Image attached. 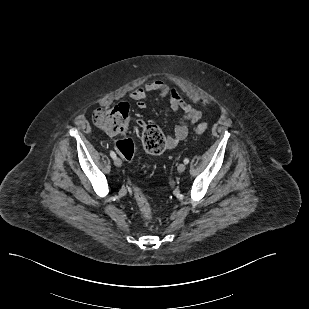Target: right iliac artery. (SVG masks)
<instances>
[{
  "instance_id": "82829eb1",
  "label": "right iliac artery",
  "mask_w": 309,
  "mask_h": 309,
  "mask_svg": "<svg viewBox=\"0 0 309 309\" xmlns=\"http://www.w3.org/2000/svg\"><path fill=\"white\" fill-rule=\"evenodd\" d=\"M110 156H111L113 159H115V158H116L115 152H114V151H110Z\"/></svg>"
}]
</instances>
